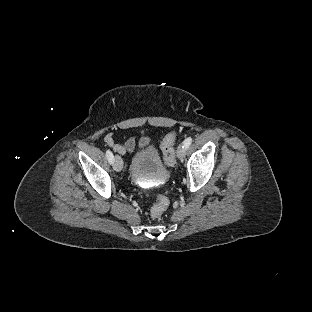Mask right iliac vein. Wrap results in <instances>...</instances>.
<instances>
[{
  "label": "right iliac vein",
  "instance_id": "obj_1",
  "mask_svg": "<svg viewBox=\"0 0 312 312\" xmlns=\"http://www.w3.org/2000/svg\"><path fill=\"white\" fill-rule=\"evenodd\" d=\"M113 168L115 171L120 172L123 168V162L119 155H116L113 161Z\"/></svg>",
  "mask_w": 312,
  "mask_h": 312
}]
</instances>
